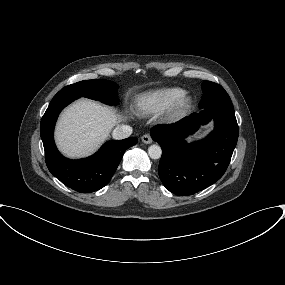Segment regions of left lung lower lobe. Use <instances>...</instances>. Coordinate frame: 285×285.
Masks as SVG:
<instances>
[{
	"label": "left lung lower lobe",
	"mask_w": 285,
	"mask_h": 285,
	"mask_svg": "<svg viewBox=\"0 0 285 285\" xmlns=\"http://www.w3.org/2000/svg\"><path fill=\"white\" fill-rule=\"evenodd\" d=\"M211 119L215 128L205 139L190 144L184 140ZM238 134L234 109L220 106L154 126L151 136L162 148L158 173L163 185L176 195L188 196L217 182L230 163Z\"/></svg>",
	"instance_id": "0a47b994"
}]
</instances>
